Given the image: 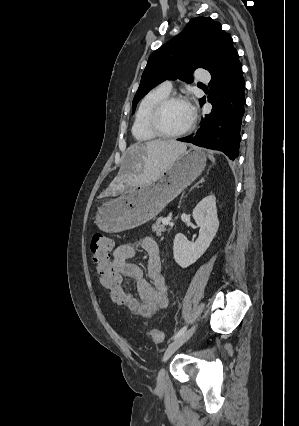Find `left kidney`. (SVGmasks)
<instances>
[{
  "label": "left kidney",
  "mask_w": 299,
  "mask_h": 426,
  "mask_svg": "<svg viewBox=\"0 0 299 426\" xmlns=\"http://www.w3.org/2000/svg\"><path fill=\"white\" fill-rule=\"evenodd\" d=\"M193 218L200 227L197 240L190 242L183 234L178 233L173 242L175 262L182 268L189 267L205 253L218 231L219 220L214 195L203 198L197 204L193 210Z\"/></svg>",
  "instance_id": "1"
}]
</instances>
